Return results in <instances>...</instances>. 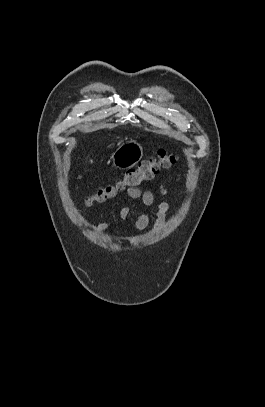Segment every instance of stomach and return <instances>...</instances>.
<instances>
[{"mask_svg": "<svg viewBox=\"0 0 265 407\" xmlns=\"http://www.w3.org/2000/svg\"><path fill=\"white\" fill-rule=\"evenodd\" d=\"M143 157V148L137 142H127L116 149L112 155L113 165L119 169L134 167Z\"/></svg>", "mask_w": 265, "mask_h": 407, "instance_id": "0dacf381", "label": "stomach"}]
</instances>
